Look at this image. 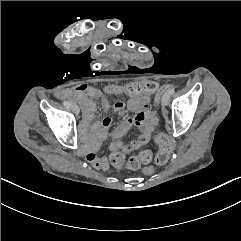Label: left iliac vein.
<instances>
[{
  "label": "left iliac vein",
  "instance_id": "left-iliac-vein-1",
  "mask_svg": "<svg viewBox=\"0 0 241 241\" xmlns=\"http://www.w3.org/2000/svg\"><path fill=\"white\" fill-rule=\"evenodd\" d=\"M169 101H170V96L168 93H165L163 96H162V104L164 106H167L169 104Z\"/></svg>",
  "mask_w": 241,
  "mask_h": 241
}]
</instances>
